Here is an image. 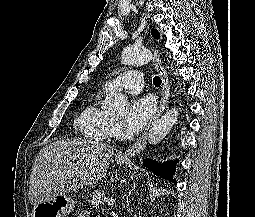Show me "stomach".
Wrapping results in <instances>:
<instances>
[{
  "label": "stomach",
  "instance_id": "0dacf381",
  "mask_svg": "<svg viewBox=\"0 0 255 217\" xmlns=\"http://www.w3.org/2000/svg\"><path fill=\"white\" fill-rule=\"evenodd\" d=\"M119 165L126 163V159L116 158ZM75 207V202L72 198L59 195L50 200L41 202L34 206L32 217H66L72 212Z\"/></svg>",
  "mask_w": 255,
  "mask_h": 217
}]
</instances>
